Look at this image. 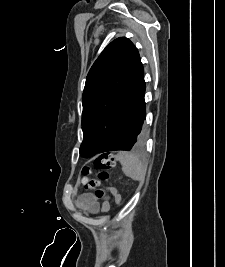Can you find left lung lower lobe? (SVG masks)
<instances>
[{
    "label": "left lung lower lobe",
    "mask_w": 225,
    "mask_h": 267,
    "mask_svg": "<svg viewBox=\"0 0 225 267\" xmlns=\"http://www.w3.org/2000/svg\"><path fill=\"white\" fill-rule=\"evenodd\" d=\"M144 94V70L140 61L123 96L112 133L100 153L129 151L137 146L146 119Z\"/></svg>",
    "instance_id": "obj_1"
}]
</instances>
